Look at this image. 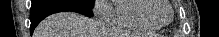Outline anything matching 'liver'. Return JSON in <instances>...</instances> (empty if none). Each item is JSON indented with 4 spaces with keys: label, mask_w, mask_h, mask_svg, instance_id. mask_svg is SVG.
<instances>
[{
    "label": "liver",
    "mask_w": 219,
    "mask_h": 37,
    "mask_svg": "<svg viewBox=\"0 0 219 37\" xmlns=\"http://www.w3.org/2000/svg\"><path fill=\"white\" fill-rule=\"evenodd\" d=\"M101 24L75 12H60L45 18L34 37H101Z\"/></svg>",
    "instance_id": "6515ba94"
}]
</instances>
